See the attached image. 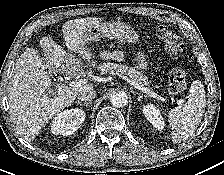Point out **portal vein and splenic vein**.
Returning <instances> with one entry per match:
<instances>
[{"mask_svg":"<svg viewBox=\"0 0 224 175\" xmlns=\"http://www.w3.org/2000/svg\"><path fill=\"white\" fill-rule=\"evenodd\" d=\"M120 77H122L124 80H126L130 85L134 86L135 88H137L138 90H141L142 92L147 93L148 95L152 96L153 98H156L162 102H167V100L158 95L157 93L150 91L148 88L141 86L140 84L136 83L135 81H133L132 79L126 77V76H122L120 75ZM87 81L85 79H79V80H73L69 83L70 86L76 87V86H81L82 84H85ZM178 104H181L184 102L183 99H180L179 101H177Z\"/></svg>","mask_w":224,"mask_h":175,"instance_id":"obj_1","label":"portal vein and splenic vein"}]
</instances>
